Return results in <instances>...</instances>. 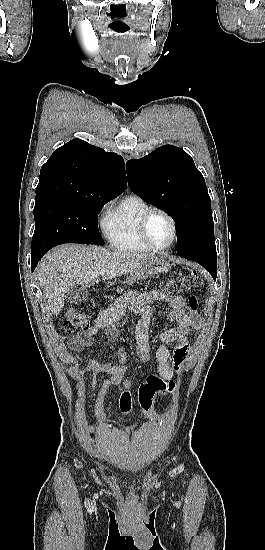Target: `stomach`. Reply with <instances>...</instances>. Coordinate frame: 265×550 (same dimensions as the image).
<instances>
[{
    "label": "stomach",
    "instance_id": "stomach-1",
    "mask_svg": "<svg viewBox=\"0 0 265 550\" xmlns=\"http://www.w3.org/2000/svg\"><path fill=\"white\" fill-rule=\"evenodd\" d=\"M171 269V264L163 255H151L148 260L132 275L136 278H147L151 275L166 273Z\"/></svg>",
    "mask_w": 265,
    "mask_h": 550
}]
</instances>
